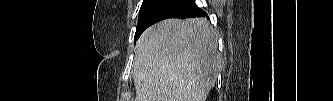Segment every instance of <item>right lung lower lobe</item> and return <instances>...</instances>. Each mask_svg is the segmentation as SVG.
<instances>
[{
    "label": "right lung lower lobe",
    "instance_id": "obj_1",
    "mask_svg": "<svg viewBox=\"0 0 333 101\" xmlns=\"http://www.w3.org/2000/svg\"><path fill=\"white\" fill-rule=\"evenodd\" d=\"M194 0H149L142 4L135 40L151 25L167 18H194L205 16Z\"/></svg>",
    "mask_w": 333,
    "mask_h": 101
}]
</instances>
